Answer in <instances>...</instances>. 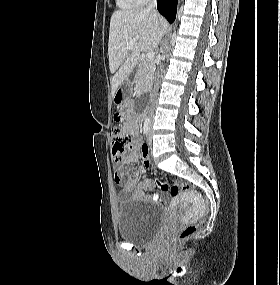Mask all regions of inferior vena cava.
<instances>
[{
	"mask_svg": "<svg viewBox=\"0 0 280 285\" xmlns=\"http://www.w3.org/2000/svg\"><path fill=\"white\" fill-rule=\"evenodd\" d=\"M156 7V0H152V2L149 4V6L147 7V9L148 10H153L154 8ZM161 70V67L157 70V76H158V78H159V76H160V71ZM157 86H158V84H156L155 85V87H154V90H157ZM154 93H155V91H154ZM153 114V111L151 110V115Z\"/></svg>",
	"mask_w": 280,
	"mask_h": 285,
	"instance_id": "inferior-vena-cava-1",
	"label": "inferior vena cava"
}]
</instances>
